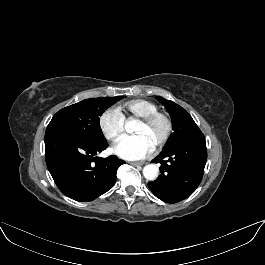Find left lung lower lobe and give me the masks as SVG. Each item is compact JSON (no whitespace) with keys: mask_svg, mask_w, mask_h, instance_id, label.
<instances>
[{"mask_svg":"<svg viewBox=\"0 0 265 265\" xmlns=\"http://www.w3.org/2000/svg\"><path fill=\"white\" fill-rule=\"evenodd\" d=\"M206 161L207 148L203 134L163 149L152 160L153 163H160L161 174L148 186L162 201L177 203L198 187Z\"/></svg>","mask_w":265,"mask_h":265,"instance_id":"obj_1","label":"left lung lower lobe"}]
</instances>
